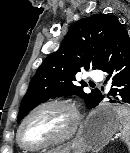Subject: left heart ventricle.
<instances>
[{
    "instance_id": "b2bd125f",
    "label": "left heart ventricle",
    "mask_w": 130,
    "mask_h": 153,
    "mask_svg": "<svg viewBox=\"0 0 130 153\" xmlns=\"http://www.w3.org/2000/svg\"><path fill=\"white\" fill-rule=\"evenodd\" d=\"M72 123L70 111L62 106L40 109L26 122L22 140L27 144H39L61 137Z\"/></svg>"
}]
</instances>
